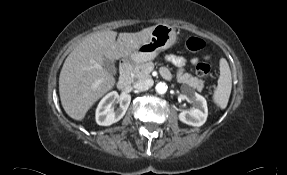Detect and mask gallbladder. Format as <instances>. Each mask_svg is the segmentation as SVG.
Instances as JSON below:
<instances>
[{
    "label": "gallbladder",
    "mask_w": 287,
    "mask_h": 175,
    "mask_svg": "<svg viewBox=\"0 0 287 175\" xmlns=\"http://www.w3.org/2000/svg\"><path fill=\"white\" fill-rule=\"evenodd\" d=\"M103 67L107 72H109L111 74L115 73V66H114V63L112 60H110L108 58H104Z\"/></svg>",
    "instance_id": "1"
}]
</instances>
